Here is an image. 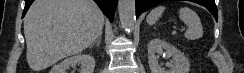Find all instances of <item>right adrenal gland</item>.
I'll return each instance as SVG.
<instances>
[{
  "label": "right adrenal gland",
  "instance_id": "2a0ac1e0",
  "mask_svg": "<svg viewBox=\"0 0 244 73\" xmlns=\"http://www.w3.org/2000/svg\"><path fill=\"white\" fill-rule=\"evenodd\" d=\"M102 34L97 37V39L90 45L89 48L93 47L94 44H97L99 46L101 44Z\"/></svg>",
  "mask_w": 244,
  "mask_h": 73
}]
</instances>
